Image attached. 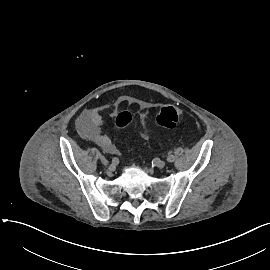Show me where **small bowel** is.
<instances>
[{"mask_svg":"<svg viewBox=\"0 0 270 270\" xmlns=\"http://www.w3.org/2000/svg\"><path fill=\"white\" fill-rule=\"evenodd\" d=\"M130 101L125 97H120L114 106L101 104L85 110L80 116L77 126L82 138L92 141L104 151L112 153L115 146L110 137L103 131V121L101 113L106 111L110 117H114L117 107L129 105ZM139 120L142 128V136L147 135L148 106L142 104L139 107Z\"/></svg>","mask_w":270,"mask_h":270,"instance_id":"1","label":"small bowel"}]
</instances>
